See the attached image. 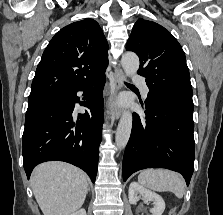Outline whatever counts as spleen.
Returning <instances> with one entry per match:
<instances>
[{
	"label": "spleen",
	"mask_w": 223,
	"mask_h": 215,
	"mask_svg": "<svg viewBox=\"0 0 223 215\" xmlns=\"http://www.w3.org/2000/svg\"><path fill=\"white\" fill-rule=\"evenodd\" d=\"M138 181L155 191H173L177 197H183L185 193L184 179L169 169H143L138 175Z\"/></svg>",
	"instance_id": "3e777b00"
}]
</instances>
